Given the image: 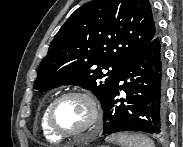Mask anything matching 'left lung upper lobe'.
I'll list each match as a JSON object with an SVG mask.
<instances>
[{
  "label": "left lung upper lobe",
  "instance_id": "5c2ea615",
  "mask_svg": "<svg viewBox=\"0 0 183 147\" xmlns=\"http://www.w3.org/2000/svg\"><path fill=\"white\" fill-rule=\"evenodd\" d=\"M157 35L148 0H93L77 9L52 40L34 89L91 90L105 104L125 63Z\"/></svg>",
  "mask_w": 183,
  "mask_h": 147
}]
</instances>
